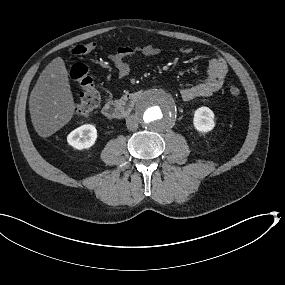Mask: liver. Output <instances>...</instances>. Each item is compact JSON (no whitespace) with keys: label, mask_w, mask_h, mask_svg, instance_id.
<instances>
[{"label":"liver","mask_w":285,"mask_h":285,"mask_svg":"<svg viewBox=\"0 0 285 285\" xmlns=\"http://www.w3.org/2000/svg\"><path fill=\"white\" fill-rule=\"evenodd\" d=\"M76 105L63 57L57 56L39 75L29 97L33 127L41 138L55 134L71 121Z\"/></svg>","instance_id":"liver-1"}]
</instances>
